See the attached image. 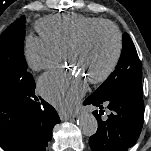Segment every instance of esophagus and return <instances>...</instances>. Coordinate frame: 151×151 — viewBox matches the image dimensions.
<instances>
[{
    "mask_svg": "<svg viewBox=\"0 0 151 151\" xmlns=\"http://www.w3.org/2000/svg\"><path fill=\"white\" fill-rule=\"evenodd\" d=\"M59 116H60V119L62 120V121H66V120H68V119H70L71 117H75L76 116V113H70V114H68V113H59Z\"/></svg>",
    "mask_w": 151,
    "mask_h": 151,
    "instance_id": "obj_1",
    "label": "esophagus"
}]
</instances>
